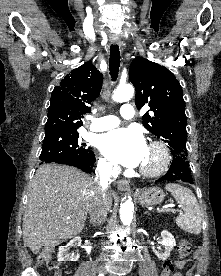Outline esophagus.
<instances>
[{
	"label": "esophagus",
	"instance_id": "34e87169",
	"mask_svg": "<svg viewBox=\"0 0 221 276\" xmlns=\"http://www.w3.org/2000/svg\"><path fill=\"white\" fill-rule=\"evenodd\" d=\"M113 44H119V43L113 42ZM117 187L121 191H130V182L126 179H121L117 182Z\"/></svg>",
	"mask_w": 221,
	"mask_h": 276
}]
</instances>
